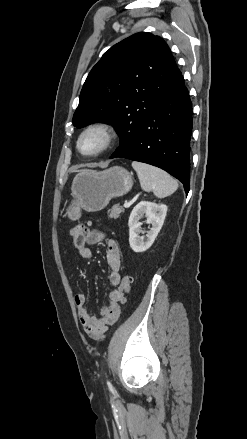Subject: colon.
Masks as SVG:
<instances>
[{
	"label": "colon",
	"mask_w": 247,
	"mask_h": 439,
	"mask_svg": "<svg viewBox=\"0 0 247 439\" xmlns=\"http://www.w3.org/2000/svg\"><path fill=\"white\" fill-rule=\"evenodd\" d=\"M89 230L87 223H80L71 229V237L74 246L79 250L85 246V235ZM133 282L131 275H126L120 283V290L128 293Z\"/></svg>",
	"instance_id": "obj_1"
}]
</instances>
